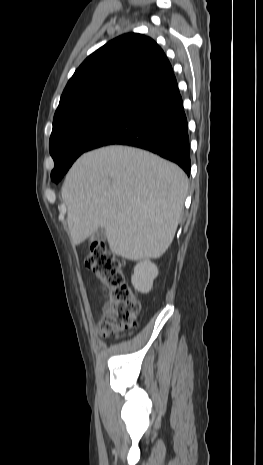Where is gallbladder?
<instances>
[{
    "label": "gallbladder",
    "mask_w": 263,
    "mask_h": 465,
    "mask_svg": "<svg viewBox=\"0 0 263 465\" xmlns=\"http://www.w3.org/2000/svg\"><path fill=\"white\" fill-rule=\"evenodd\" d=\"M105 239H106L105 230L103 228H100L92 234L90 241L91 242L104 241Z\"/></svg>",
    "instance_id": "obj_1"
}]
</instances>
